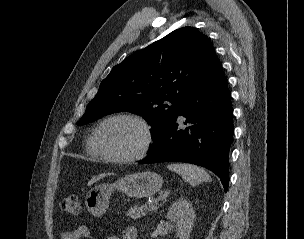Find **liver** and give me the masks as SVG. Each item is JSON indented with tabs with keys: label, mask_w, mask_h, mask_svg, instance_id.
<instances>
[{
	"label": "liver",
	"mask_w": 304,
	"mask_h": 239,
	"mask_svg": "<svg viewBox=\"0 0 304 239\" xmlns=\"http://www.w3.org/2000/svg\"><path fill=\"white\" fill-rule=\"evenodd\" d=\"M107 175H110V173L106 174V173H103V174H99L98 176L96 177H93L91 180H89L88 182V186H91L92 184H94L95 182H97L98 180L106 177Z\"/></svg>",
	"instance_id": "1"
}]
</instances>
